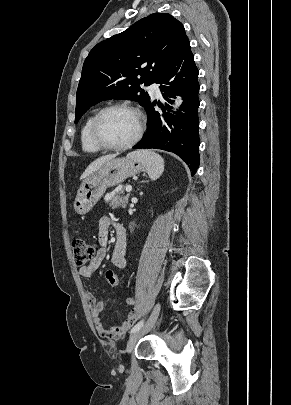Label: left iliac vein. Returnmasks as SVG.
I'll return each mask as SVG.
<instances>
[{
	"label": "left iliac vein",
	"mask_w": 291,
	"mask_h": 405,
	"mask_svg": "<svg viewBox=\"0 0 291 405\" xmlns=\"http://www.w3.org/2000/svg\"><path fill=\"white\" fill-rule=\"evenodd\" d=\"M160 303H157L152 311V314L150 316V318L148 319L147 323L140 328L138 331H136L135 333H133L130 337L129 340L127 342V347H126V352L127 353H131L132 350L134 349L137 341L144 335L146 334L148 331H150L153 326L156 323V320L159 316V312H160Z\"/></svg>",
	"instance_id": "1"
}]
</instances>
